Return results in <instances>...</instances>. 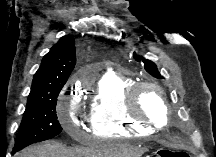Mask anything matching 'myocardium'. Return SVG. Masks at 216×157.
I'll list each match as a JSON object with an SVG mask.
<instances>
[{
    "label": "myocardium",
    "mask_w": 216,
    "mask_h": 157,
    "mask_svg": "<svg viewBox=\"0 0 216 157\" xmlns=\"http://www.w3.org/2000/svg\"><path fill=\"white\" fill-rule=\"evenodd\" d=\"M145 89H152L157 92L160 103L165 113V122L162 125L157 124L151 117L146 115L140 107V97ZM126 109L130 117L133 119L148 124L153 128H162L166 126L170 120V110L167 104L165 91L159 85L152 82L136 83L127 93Z\"/></svg>",
    "instance_id": "f54148a6"
}]
</instances>
